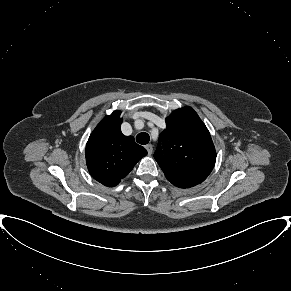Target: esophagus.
Here are the masks:
<instances>
[{
	"mask_svg": "<svg viewBox=\"0 0 291 291\" xmlns=\"http://www.w3.org/2000/svg\"><path fill=\"white\" fill-rule=\"evenodd\" d=\"M145 148H146L148 154L151 155L152 152H153V147H152V145H151V144H147V145L145 146Z\"/></svg>",
	"mask_w": 291,
	"mask_h": 291,
	"instance_id": "34e87169",
	"label": "esophagus"
}]
</instances>
